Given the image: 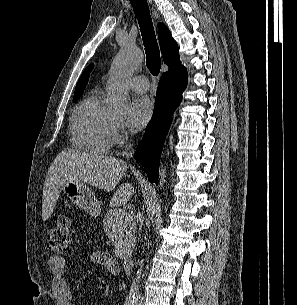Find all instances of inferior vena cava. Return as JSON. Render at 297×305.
<instances>
[{
  "label": "inferior vena cava",
  "mask_w": 297,
  "mask_h": 305,
  "mask_svg": "<svg viewBox=\"0 0 297 305\" xmlns=\"http://www.w3.org/2000/svg\"><path fill=\"white\" fill-rule=\"evenodd\" d=\"M138 218H141V213L139 212L138 215H137ZM140 275L142 276V273L140 272ZM134 297H135V301L138 302V303H141L142 302V297H141V294L139 292V290L137 289L134 293Z\"/></svg>",
  "instance_id": "602c4592"
}]
</instances>
